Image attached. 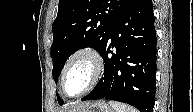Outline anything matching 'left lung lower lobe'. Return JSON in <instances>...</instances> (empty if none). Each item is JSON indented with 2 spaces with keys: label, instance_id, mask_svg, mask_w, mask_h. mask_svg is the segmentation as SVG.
<instances>
[{
  "label": "left lung lower lobe",
  "instance_id": "left-lung-lower-lobe-1",
  "mask_svg": "<svg viewBox=\"0 0 193 112\" xmlns=\"http://www.w3.org/2000/svg\"><path fill=\"white\" fill-rule=\"evenodd\" d=\"M154 20L152 0L132 1L100 51L104 76L82 101L106 98L132 105L140 112H153L157 43Z\"/></svg>",
  "mask_w": 193,
  "mask_h": 112
}]
</instances>
